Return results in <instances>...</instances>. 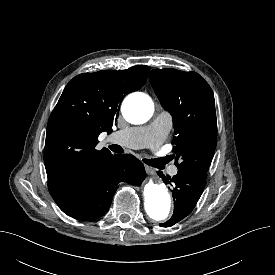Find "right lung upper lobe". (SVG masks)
<instances>
[{"label": "right lung upper lobe", "mask_w": 275, "mask_h": 275, "mask_svg": "<svg viewBox=\"0 0 275 275\" xmlns=\"http://www.w3.org/2000/svg\"><path fill=\"white\" fill-rule=\"evenodd\" d=\"M149 67L102 70L74 77L65 87L48 121L44 162L48 189L56 201L84 172L112 155L96 150L101 132L112 131L120 103L146 82Z\"/></svg>", "instance_id": "1"}]
</instances>
